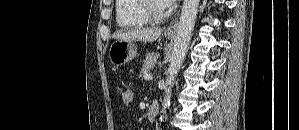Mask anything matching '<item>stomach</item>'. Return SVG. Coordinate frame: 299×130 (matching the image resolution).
Wrapping results in <instances>:
<instances>
[{
    "label": "stomach",
    "instance_id": "stomach-1",
    "mask_svg": "<svg viewBox=\"0 0 299 130\" xmlns=\"http://www.w3.org/2000/svg\"><path fill=\"white\" fill-rule=\"evenodd\" d=\"M173 35L165 34L166 38H172ZM137 55V47L132 40H116L109 48V59L114 65L125 64Z\"/></svg>",
    "mask_w": 299,
    "mask_h": 130
}]
</instances>
